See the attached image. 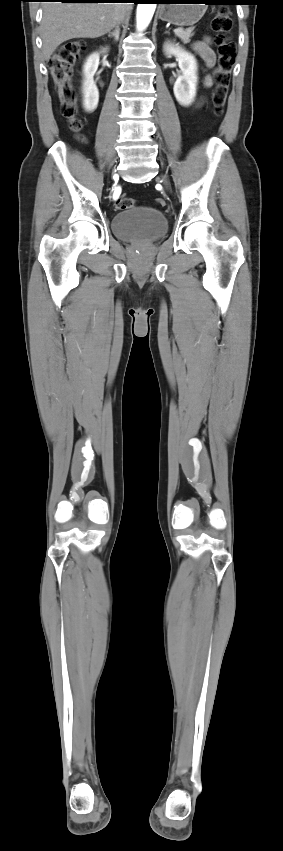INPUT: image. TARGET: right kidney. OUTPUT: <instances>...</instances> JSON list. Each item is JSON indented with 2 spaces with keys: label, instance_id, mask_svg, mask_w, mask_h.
Wrapping results in <instances>:
<instances>
[{
  "label": "right kidney",
  "instance_id": "1",
  "mask_svg": "<svg viewBox=\"0 0 283 851\" xmlns=\"http://www.w3.org/2000/svg\"><path fill=\"white\" fill-rule=\"evenodd\" d=\"M103 53L106 52V49L102 50ZM100 53L95 52L92 53L86 60L83 67L84 74V82H83V106L85 111L93 112L98 105L99 102V92L98 88L94 82V75L99 66Z\"/></svg>",
  "mask_w": 283,
  "mask_h": 851
}]
</instances>
